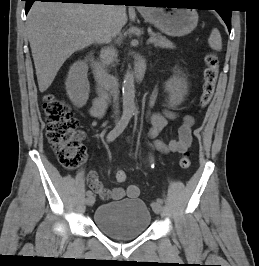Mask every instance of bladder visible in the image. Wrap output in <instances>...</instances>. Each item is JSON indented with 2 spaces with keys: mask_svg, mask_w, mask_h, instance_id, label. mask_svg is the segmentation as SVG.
Wrapping results in <instances>:
<instances>
[{
  "mask_svg": "<svg viewBox=\"0 0 259 266\" xmlns=\"http://www.w3.org/2000/svg\"><path fill=\"white\" fill-rule=\"evenodd\" d=\"M93 222L111 238L130 240L147 231L151 214L141 199H124L98 206L93 214Z\"/></svg>",
  "mask_w": 259,
  "mask_h": 266,
  "instance_id": "bladder-1",
  "label": "bladder"
}]
</instances>
